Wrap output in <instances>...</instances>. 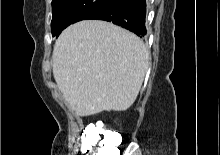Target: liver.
<instances>
[{
  "mask_svg": "<svg viewBox=\"0 0 220 155\" xmlns=\"http://www.w3.org/2000/svg\"><path fill=\"white\" fill-rule=\"evenodd\" d=\"M52 59L58 89L77 116L128 109L149 65L148 50L135 34L101 20L67 27Z\"/></svg>",
  "mask_w": 220,
  "mask_h": 155,
  "instance_id": "obj_1",
  "label": "liver"
}]
</instances>
